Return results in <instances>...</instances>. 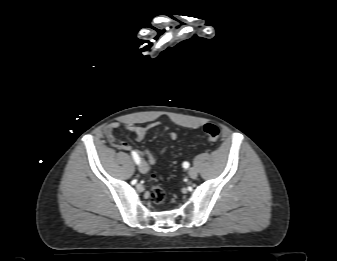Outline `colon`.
I'll list each match as a JSON object with an SVG mask.
<instances>
[{"label": "colon", "mask_w": 337, "mask_h": 261, "mask_svg": "<svg viewBox=\"0 0 337 261\" xmlns=\"http://www.w3.org/2000/svg\"><path fill=\"white\" fill-rule=\"evenodd\" d=\"M203 130L206 140L209 142L216 141L220 136V129L215 124L208 123L204 126ZM150 181L152 182V187L150 190V198L155 204L160 205L165 200V192L159 185L155 183L156 174L152 173L150 175Z\"/></svg>", "instance_id": "obj_1"}]
</instances>
